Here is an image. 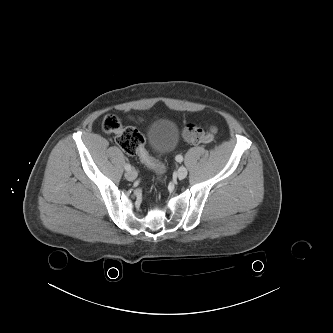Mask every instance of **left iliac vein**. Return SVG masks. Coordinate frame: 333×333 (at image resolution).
Instances as JSON below:
<instances>
[{"mask_svg": "<svg viewBox=\"0 0 333 333\" xmlns=\"http://www.w3.org/2000/svg\"><path fill=\"white\" fill-rule=\"evenodd\" d=\"M177 176L180 180L184 179L187 176V169L181 166L177 171Z\"/></svg>", "mask_w": 333, "mask_h": 333, "instance_id": "obj_1", "label": "left iliac vein"}]
</instances>
